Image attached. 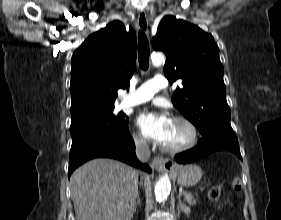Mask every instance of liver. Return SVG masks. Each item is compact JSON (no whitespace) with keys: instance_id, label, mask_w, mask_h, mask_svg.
<instances>
[{"instance_id":"1","label":"liver","mask_w":281,"mask_h":220,"mask_svg":"<svg viewBox=\"0 0 281 220\" xmlns=\"http://www.w3.org/2000/svg\"><path fill=\"white\" fill-rule=\"evenodd\" d=\"M138 178V171L113 159L83 164L70 179L76 220H131Z\"/></svg>"}]
</instances>
